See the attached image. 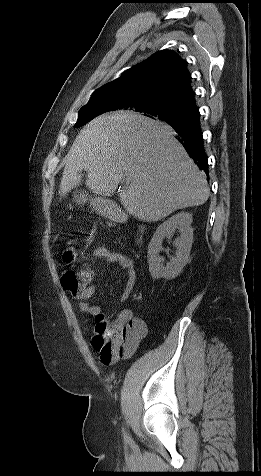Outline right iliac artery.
Segmentation results:
<instances>
[{"instance_id": "obj_1", "label": "right iliac artery", "mask_w": 261, "mask_h": 476, "mask_svg": "<svg viewBox=\"0 0 261 476\" xmlns=\"http://www.w3.org/2000/svg\"><path fill=\"white\" fill-rule=\"evenodd\" d=\"M124 438H125V439H128V435H127V433H126L125 431H124Z\"/></svg>"}]
</instances>
